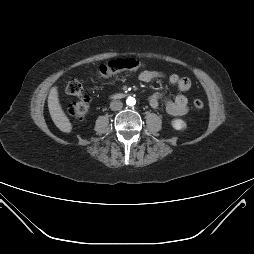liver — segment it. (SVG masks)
<instances>
[{"mask_svg": "<svg viewBox=\"0 0 254 254\" xmlns=\"http://www.w3.org/2000/svg\"><path fill=\"white\" fill-rule=\"evenodd\" d=\"M48 109L57 128L64 133L71 132L72 124L61 107L57 86L52 87L48 95Z\"/></svg>", "mask_w": 254, "mask_h": 254, "instance_id": "1", "label": "liver"}]
</instances>
